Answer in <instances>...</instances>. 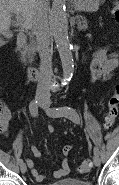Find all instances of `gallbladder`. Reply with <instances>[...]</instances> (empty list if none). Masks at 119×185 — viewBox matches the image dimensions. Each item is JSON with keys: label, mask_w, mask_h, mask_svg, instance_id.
Returning <instances> with one entry per match:
<instances>
[{"label": "gallbladder", "mask_w": 119, "mask_h": 185, "mask_svg": "<svg viewBox=\"0 0 119 185\" xmlns=\"http://www.w3.org/2000/svg\"><path fill=\"white\" fill-rule=\"evenodd\" d=\"M4 36L6 37V38H8V37H10V34L9 33H4Z\"/></svg>", "instance_id": "1"}]
</instances>
